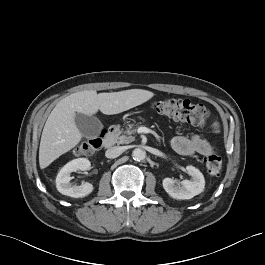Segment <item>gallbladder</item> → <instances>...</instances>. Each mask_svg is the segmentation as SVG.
Segmentation results:
<instances>
[{
	"label": "gallbladder",
	"mask_w": 265,
	"mask_h": 265,
	"mask_svg": "<svg viewBox=\"0 0 265 265\" xmlns=\"http://www.w3.org/2000/svg\"><path fill=\"white\" fill-rule=\"evenodd\" d=\"M75 124L80 133L86 138L99 135L103 129V125L98 118L82 113L75 114Z\"/></svg>",
	"instance_id": "gallbladder-1"
}]
</instances>
